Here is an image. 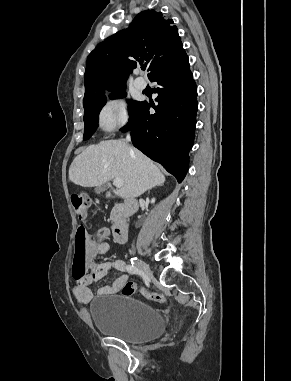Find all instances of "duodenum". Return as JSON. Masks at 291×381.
Here are the masks:
<instances>
[{"label":"duodenum","mask_w":291,"mask_h":381,"mask_svg":"<svg viewBox=\"0 0 291 381\" xmlns=\"http://www.w3.org/2000/svg\"><path fill=\"white\" fill-rule=\"evenodd\" d=\"M137 202L132 198H126L119 205L117 210V219L113 225V236L117 243L126 242L128 235L127 216L137 209Z\"/></svg>","instance_id":"1"}]
</instances>
